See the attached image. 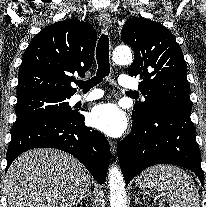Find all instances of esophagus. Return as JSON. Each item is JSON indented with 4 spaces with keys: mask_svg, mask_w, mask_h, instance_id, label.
I'll use <instances>...</instances> for the list:
<instances>
[{
    "mask_svg": "<svg viewBox=\"0 0 206 207\" xmlns=\"http://www.w3.org/2000/svg\"><path fill=\"white\" fill-rule=\"evenodd\" d=\"M99 22L105 30L111 29L112 20L108 12L103 11L99 15ZM110 149L112 155H116L117 153V142L114 140L109 141Z\"/></svg>",
    "mask_w": 206,
    "mask_h": 207,
    "instance_id": "esophagus-1",
    "label": "esophagus"
}]
</instances>
